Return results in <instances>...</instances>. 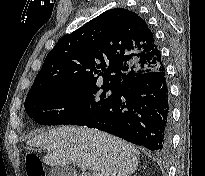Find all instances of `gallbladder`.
Here are the masks:
<instances>
[{"instance_id":"bac80fb5","label":"gallbladder","mask_w":205,"mask_h":176,"mask_svg":"<svg viewBox=\"0 0 205 176\" xmlns=\"http://www.w3.org/2000/svg\"><path fill=\"white\" fill-rule=\"evenodd\" d=\"M70 168L66 166H53L49 171V176H69Z\"/></svg>"}]
</instances>
